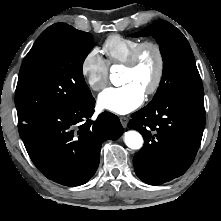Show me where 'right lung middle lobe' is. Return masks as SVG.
<instances>
[{
    "mask_svg": "<svg viewBox=\"0 0 221 221\" xmlns=\"http://www.w3.org/2000/svg\"><path fill=\"white\" fill-rule=\"evenodd\" d=\"M93 46V36L85 32L36 40L19 72L15 92L19 122L38 113L74 108L92 96L82 66Z\"/></svg>",
    "mask_w": 221,
    "mask_h": 221,
    "instance_id": "dd1d6c3e",
    "label": "right lung middle lobe"
}]
</instances>
